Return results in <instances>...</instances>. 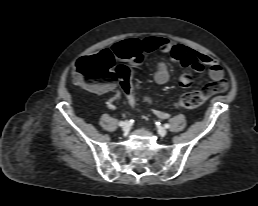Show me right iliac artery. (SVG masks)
Wrapping results in <instances>:
<instances>
[{
    "label": "right iliac artery",
    "instance_id": "right-iliac-artery-1",
    "mask_svg": "<svg viewBox=\"0 0 258 206\" xmlns=\"http://www.w3.org/2000/svg\"><path fill=\"white\" fill-rule=\"evenodd\" d=\"M124 122L123 121H120L119 122V126H123Z\"/></svg>",
    "mask_w": 258,
    "mask_h": 206
}]
</instances>
